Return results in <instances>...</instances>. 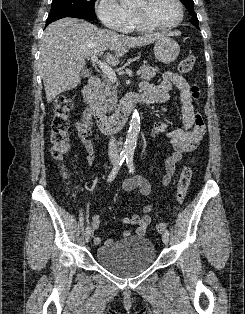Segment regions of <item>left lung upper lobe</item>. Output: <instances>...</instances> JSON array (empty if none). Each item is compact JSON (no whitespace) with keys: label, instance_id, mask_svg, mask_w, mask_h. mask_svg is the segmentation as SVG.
I'll list each match as a JSON object with an SVG mask.
<instances>
[{"label":"left lung upper lobe","instance_id":"left-lung-upper-lobe-1","mask_svg":"<svg viewBox=\"0 0 245 314\" xmlns=\"http://www.w3.org/2000/svg\"><path fill=\"white\" fill-rule=\"evenodd\" d=\"M180 1L184 4V6L188 9L189 13L192 16L190 22L199 29L198 25L199 21L194 11V1L193 0H180Z\"/></svg>","mask_w":245,"mask_h":314}]
</instances>
